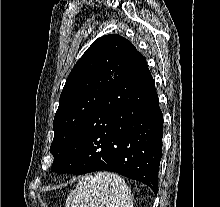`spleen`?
I'll list each match as a JSON object with an SVG mask.
<instances>
[{
  "label": "spleen",
  "instance_id": "1",
  "mask_svg": "<svg viewBox=\"0 0 220 207\" xmlns=\"http://www.w3.org/2000/svg\"><path fill=\"white\" fill-rule=\"evenodd\" d=\"M66 207H133L131 190L111 172L86 175L67 197Z\"/></svg>",
  "mask_w": 220,
  "mask_h": 207
}]
</instances>
